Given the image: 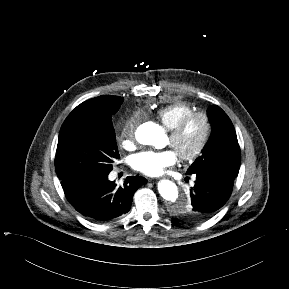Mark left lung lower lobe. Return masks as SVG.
I'll return each instance as SVG.
<instances>
[{"instance_id": "0a47b994", "label": "left lung lower lobe", "mask_w": 289, "mask_h": 289, "mask_svg": "<svg viewBox=\"0 0 289 289\" xmlns=\"http://www.w3.org/2000/svg\"><path fill=\"white\" fill-rule=\"evenodd\" d=\"M196 182L190 189L188 202L190 222H200L213 216L230 197L237 176L220 170H207L194 173ZM185 208V204L181 205Z\"/></svg>"}]
</instances>
